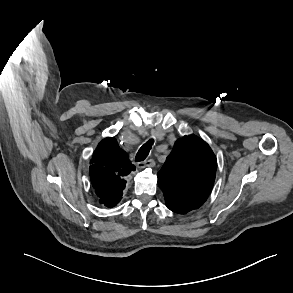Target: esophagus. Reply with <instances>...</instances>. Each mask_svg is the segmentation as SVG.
Segmentation results:
<instances>
[{"instance_id":"1","label":"esophagus","mask_w":293,"mask_h":293,"mask_svg":"<svg viewBox=\"0 0 293 293\" xmlns=\"http://www.w3.org/2000/svg\"><path fill=\"white\" fill-rule=\"evenodd\" d=\"M154 166V160L153 159H148L143 162L138 163V168H146V167H153Z\"/></svg>"}]
</instances>
